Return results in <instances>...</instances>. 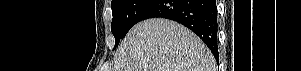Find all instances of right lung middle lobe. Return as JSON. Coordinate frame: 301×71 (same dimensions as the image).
<instances>
[{"instance_id":"obj_1","label":"right lung middle lobe","mask_w":301,"mask_h":71,"mask_svg":"<svg viewBox=\"0 0 301 71\" xmlns=\"http://www.w3.org/2000/svg\"><path fill=\"white\" fill-rule=\"evenodd\" d=\"M155 0H112L111 31L115 47L130 28L140 21V16ZM114 47V48H115Z\"/></svg>"}]
</instances>
